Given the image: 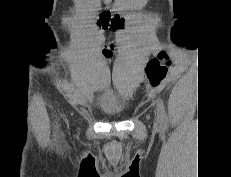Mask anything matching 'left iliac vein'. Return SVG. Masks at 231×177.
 Returning <instances> with one entry per match:
<instances>
[{
	"instance_id": "left-iliac-vein-1",
	"label": "left iliac vein",
	"mask_w": 231,
	"mask_h": 177,
	"mask_svg": "<svg viewBox=\"0 0 231 177\" xmlns=\"http://www.w3.org/2000/svg\"><path fill=\"white\" fill-rule=\"evenodd\" d=\"M155 127L158 128L159 127V116L158 114L155 113Z\"/></svg>"
}]
</instances>
